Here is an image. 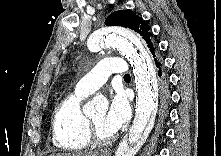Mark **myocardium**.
I'll list each match as a JSON object with an SVG mask.
<instances>
[{
	"label": "myocardium",
	"instance_id": "f54148a6",
	"mask_svg": "<svg viewBox=\"0 0 221 156\" xmlns=\"http://www.w3.org/2000/svg\"><path fill=\"white\" fill-rule=\"evenodd\" d=\"M86 135L90 143L96 145H106L114 140V135L103 137L97 131L93 121L86 117Z\"/></svg>",
	"mask_w": 221,
	"mask_h": 156
}]
</instances>
